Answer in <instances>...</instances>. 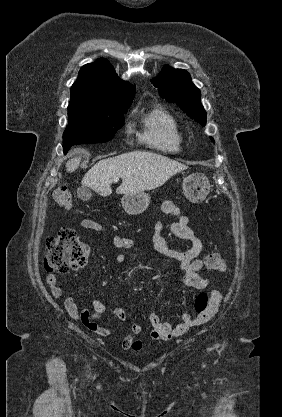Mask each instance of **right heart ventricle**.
<instances>
[{
  "label": "right heart ventricle",
  "mask_w": 282,
  "mask_h": 417,
  "mask_svg": "<svg viewBox=\"0 0 282 417\" xmlns=\"http://www.w3.org/2000/svg\"><path fill=\"white\" fill-rule=\"evenodd\" d=\"M140 138L146 144L162 149L175 150L179 144L176 124L170 114L161 106H156L141 118Z\"/></svg>",
  "instance_id": "e07e8e85"
}]
</instances>
